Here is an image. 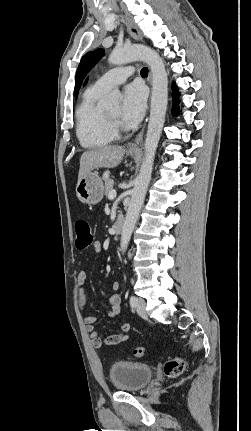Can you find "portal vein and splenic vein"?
<instances>
[{
	"instance_id": "portal-vein-and-splenic-vein-1",
	"label": "portal vein and splenic vein",
	"mask_w": 251,
	"mask_h": 431,
	"mask_svg": "<svg viewBox=\"0 0 251 431\" xmlns=\"http://www.w3.org/2000/svg\"><path fill=\"white\" fill-rule=\"evenodd\" d=\"M116 195H117V192H116V190H115V189H113V190L109 193L108 198H109L110 200H113V199L116 197Z\"/></svg>"
}]
</instances>
